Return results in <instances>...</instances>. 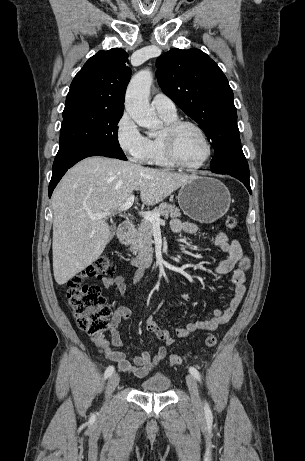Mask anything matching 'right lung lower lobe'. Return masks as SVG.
Returning a JSON list of instances; mask_svg holds the SVG:
<instances>
[{
    "mask_svg": "<svg viewBox=\"0 0 305 461\" xmlns=\"http://www.w3.org/2000/svg\"><path fill=\"white\" fill-rule=\"evenodd\" d=\"M90 156H105L116 158L113 154L102 149L78 150L66 155L56 156L53 163L52 178L49 184V197H51L54 188L66 173V171L78 161Z\"/></svg>",
    "mask_w": 305,
    "mask_h": 461,
    "instance_id": "right-lung-lower-lobe-1",
    "label": "right lung lower lobe"
}]
</instances>
